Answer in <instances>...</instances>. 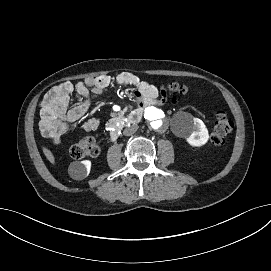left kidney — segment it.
I'll return each instance as SVG.
<instances>
[{"mask_svg":"<svg viewBox=\"0 0 271 271\" xmlns=\"http://www.w3.org/2000/svg\"><path fill=\"white\" fill-rule=\"evenodd\" d=\"M189 125L185 133L182 134L186 137L187 142L192 146H202L207 143L209 135L208 130L202 120L191 117L188 121Z\"/></svg>","mask_w":271,"mask_h":271,"instance_id":"5707ae66","label":"left kidney"}]
</instances>
